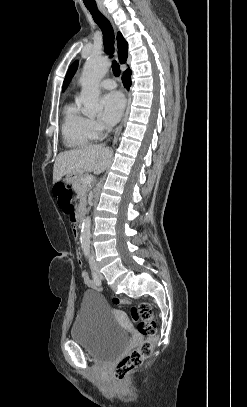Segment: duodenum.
<instances>
[{
	"label": "duodenum",
	"instance_id": "obj_1",
	"mask_svg": "<svg viewBox=\"0 0 247 407\" xmlns=\"http://www.w3.org/2000/svg\"><path fill=\"white\" fill-rule=\"evenodd\" d=\"M85 217V208L81 207L77 212V221L82 222Z\"/></svg>",
	"mask_w": 247,
	"mask_h": 407
}]
</instances>
